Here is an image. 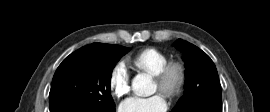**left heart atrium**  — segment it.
Segmentation results:
<instances>
[{"label": "left heart atrium", "mask_w": 270, "mask_h": 112, "mask_svg": "<svg viewBox=\"0 0 270 112\" xmlns=\"http://www.w3.org/2000/svg\"><path fill=\"white\" fill-rule=\"evenodd\" d=\"M167 103L161 94L150 97H130L119 106V112H165Z\"/></svg>", "instance_id": "obj_1"}]
</instances>
